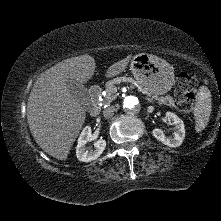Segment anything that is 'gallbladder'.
Segmentation results:
<instances>
[{
    "instance_id": "1",
    "label": "gallbladder",
    "mask_w": 221,
    "mask_h": 221,
    "mask_svg": "<svg viewBox=\"0 0 221 221\" xmlns=\"http://www.w3.org/2000/svg\"><path fill=\"white\" fill-rule=\"evenodd\" d=\"M70 94L85 108L89 109V98L87 89L83 84L76 80H68L66 82Z\"/></svg>"
}]
</instances>
